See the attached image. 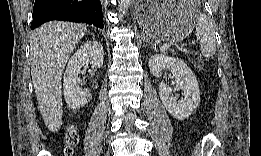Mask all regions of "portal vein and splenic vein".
Segmentation results:
<instances>
[{
  "mask_svg": "<svg viewBox=\"0 0 261 156\" xmlns=\"http://www.w3.org/2000/svg\"><path fill=\"white\" fill-rule=\"evenodd\" d=\"M169 44H164L163 46H162V48H161V51L162 52H164V51H166L168 48H169Z\"/></svg>",
  "mask_w": 261,
  "mask_h": 156,
  "instance_id": "1",
  "label": "portal vein and splenic vein"
}]
</instances>
